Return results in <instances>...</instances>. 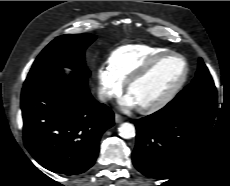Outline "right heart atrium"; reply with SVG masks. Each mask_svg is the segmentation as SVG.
I'll list each match as a JSON object with an SVG mask.
<instances>
[{
  "label": "right heart atrium",
  "mask_w": 230,
  "mask_h": 186,
  "mask_svg": "<svg viewBox=\"0 0 230 186\" xmlns=\"http://www.w3.org/2000/svg\"><path fill=\"white\" fill-rule=\"evenodd\" d=\"M97 80L99 94L103 101H108L119 95L123 89V82L105 64L98 67Z\"/></svg>",
  "instance_id": "d8ad5b80"
}]
</instances>
